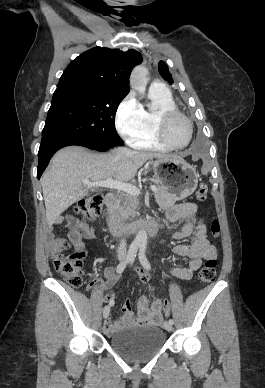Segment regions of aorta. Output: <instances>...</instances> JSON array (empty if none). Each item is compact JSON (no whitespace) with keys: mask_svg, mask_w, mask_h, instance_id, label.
<instances>
[{"mask_svg":"<svg viewBox=\"0 0 265 388\" xmlns=\"http://www.w3.org/2000/svg\"><path fill=\"white\" fill-rule=\"evenodd\" d=\"M147 69L144 66L136 67L131 74L130 77V86L139 91L140 93H144L146 84H147ZM147 233L144 229H140L133 241V244L138 247H145L147 245Z\"/></svg>","mask_w":265,"mask_h":388,"instance_id":"762f6f07","label":"aorta"}]
</instances>
